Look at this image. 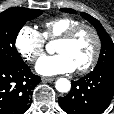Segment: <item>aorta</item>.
Listing matches in <instances>:
<instances>
[{"label":"aorta","instance_id":"obj_1","mask_svg":"<svg viewBox=\"0 0 114 114\" xmlns=\"http://www.w3.org/2000/svg\"><path fill=\"white\" fill-rule=\"evenodd\" d=\"M55 87L56 89L59 91V92H62V93H65V92H68L71 88V83L68 79L66 78H59L57 81H56V84H55Z\"/></svg>","mask_w":114,"mask_h":114}]
</instances>
